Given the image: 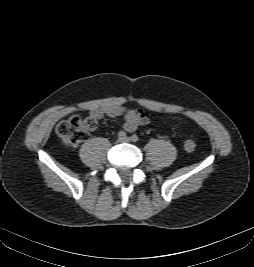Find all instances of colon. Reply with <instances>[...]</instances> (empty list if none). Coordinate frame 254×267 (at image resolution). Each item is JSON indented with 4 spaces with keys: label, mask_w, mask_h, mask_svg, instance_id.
Wrapping results in <instances>:
<instances>
[{
    "label": "colon",
    "mask_w": 254,
    "mask_h": 267,
    "mask_svg": "<svg viewBox=\"0 0 254 267\" xmlns=\"http://www.w3.org/2000/svg\"><path fill=\"white\" fill-rule=\"evenodd\" d=\"M97 121L93 118H81L73 115L60 121L56 126V133L67 144L77 145L88 138L89 131L93 130ZM196 142L193 139H187L184 142V149L187 152H193L196 149Z\"/></svg>",
    "instance_id": "colon-1"
}]
</instances>
